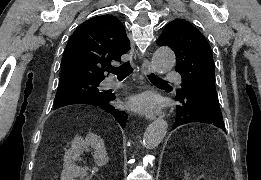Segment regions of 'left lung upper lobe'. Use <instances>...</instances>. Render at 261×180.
Listing matches in <instances>:
<instances>
[{
  "mask_svg": "<svg viewBox=\"0 0 261 180\" xmlns=\"http://www.w3.org/2000/svg\"><path fill=\"white\" fill-rule=\"evenodd\" d=\"M157 44L169 46L176 54L175 70L181 74L182 84H193L205 94L217 97L212 51L198 29L185 20L175 19L165 27Z\"/></svg>",
  "mask_w": 261,
  "mask_h": 180,
  "instance_id": "obj_1",
  "label": "left lung upper lobe"
}]
</instances>
